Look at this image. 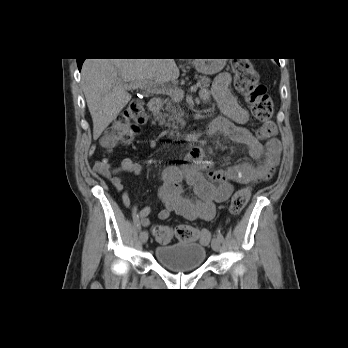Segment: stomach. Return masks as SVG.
<instances>
[{
	"label": "stomach",
	"mask_w": 348,
	"mask_h": 348,
	"mask_svg": "<svg viewBox=\"0 0 348 348\" xmlns=\"http://www.w3.org/2000/svg\"><path fill=\"white\" fill-rule=\"evenodd\" d=\"M196 70L204 75H213L220 72L226 64L225 59H195Z\"/></svg>",
	"instance_id": "1"
}]
</instances>
